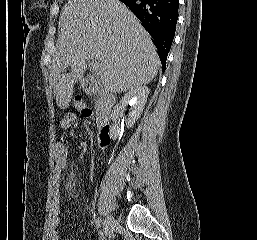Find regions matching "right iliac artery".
Returning <instances> with one entry per match:
<instances>
[{
  "instance_id": "right-iliac-artery-1",
  "label": "right iliac artery",
  "mask_w": 257,
  "mask_h": 240,
  "mask_svg": "<svg viewBox=\"0 0 257 240\" xmlns=\"http://www.w3.org/2000/svg\"><path fill=\"white\" fill-rule=\"evenodd\" d=\"M101 225H102V219L100 217H98L97 220H96V228L97 229L100 228Z\"/></svg>"
}]
</instances>
